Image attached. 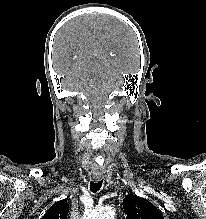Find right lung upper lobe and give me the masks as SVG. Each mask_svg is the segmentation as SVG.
<instances>
[{"label": "right lung upper lobe", "instance_id": "cb5924a9", "mask_svg": "<svg viewBox=\"0 0 206 219\" xmlns=\"http://www.w3.org/2000/svg\"><path fill=\"white\" fill-rule=\"evenodd\" d=\"M69 205L66 200L55 202L45 213L42 219H67Z\"/></svg>", "mask_w": 206, "mask_h": 219}]
</instances>
